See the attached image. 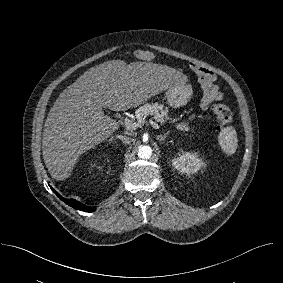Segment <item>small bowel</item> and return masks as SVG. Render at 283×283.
I'll list each match as a JSON object with an SVG mask.
<instances>
[{
    "instance_id": "small-bowel-1",
    "label": "small bowel",
    "mask_w": 283,
    "mask_h": 283,
    "mask_svg": "<svg viewBox=\"0 0 283 283\" xmlns=\"http://www.w3.org/2000/svg\"><path fill=\"white\" fill-rule=\"evenodd\" d=\"M192 71L198 76L203 90V97L201 100V107L206 110L209 104L215 100L221 99L222 95L215 83L216 75L210 69L200 66L198 64H191ZM187 122L179 124L180 127H187Z\"/></svg>"
}]
</instances>
